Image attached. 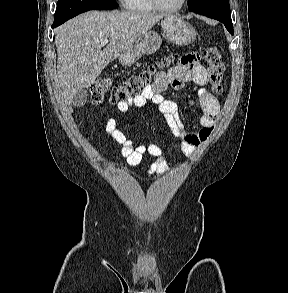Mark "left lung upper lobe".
<instances>
[{"label": "left lung upper lobe", "instance_id": "obj_1", "mask_svg": "<svg viewBox=\"0 0 288 293\" xmlns=\"http://www.w3.org/2000/svg\"><path fill=\"white\" fill-rule=\"evenodd\" d=\"M188 9L219 21L232 22L228 0H188Z\"/></svg>", "mask_w": 288, "mask_h": 293}]
</instances>
